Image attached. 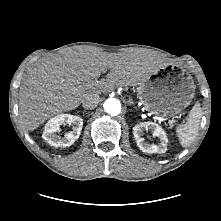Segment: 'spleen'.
Here are the masks:
<instances>
[{"label": "spleen", "mask_w": 221, "mask_h": 221, "mask_svg": "<svg viewBox=\"0 0 221 221\" xmlns=\"http://www.w3.org/2000/svg\"><path fill=\"white\" fill-rule=\"evenodd\" d=\"M200 118L201 108L195 105L190 111L187 122L177 127L176 134L182 147H188L195 140L198 133Z\"/></svg>", "instance_id": "1"}]
</instances>
